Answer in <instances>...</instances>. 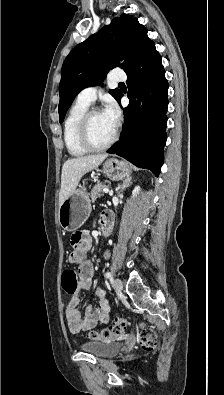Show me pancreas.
Here are the masks:
<instances>
[{
  "label": "pancreas",
  "instance_id": "1",
  "mask_svg": "<svg viewBox=\"0 0 224 395\" xmlns=\"http://www.w3.org/2000/svg\"><path fill=\"white\" fill-rule=\"evenodd\" d=\"M108 188V186L103 184H97L90 193L91 202H95L97 198H100L103 194V190Z\"/></svg>",
  "mask_w": 224,
  "mask_h": 395
}]
</instances>
